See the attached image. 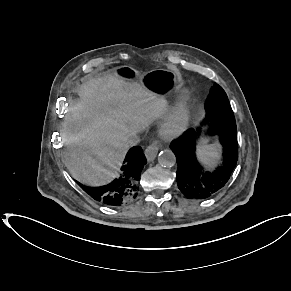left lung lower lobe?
Segmentation results:
<instances>
[{"instance_id":"obj_1","label":"left lung lower lobe","mask_w":291,"mask_h":291,"mask_svg":"<svg viewBox=\"0 0 291 291\" xmlns=\"http://www.w3.org/2000/svg\"><path fill=\"white\" fill-rule=\"evenodd\" d=\"M205 120L203 124L208 123ZM209 135H218L222 147V164L215 171H205L196 156L201 127L190 129L171 144L177 160V184L189 199H207L228 182L238 159L237 129L234 124L210 121Z\"/></svg>"}]
</instances>
